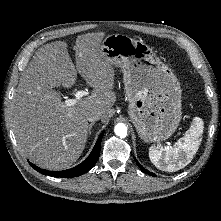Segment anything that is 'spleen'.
<instances>
[{
  "label": "spleen",
  "instance_id": "1",
  "mask_svg": "<svg viewBox=\"0 0 221 221\" xmlns=\"http://www.w3.org/2000/svg\"><path fill=\"white\" fill-rule=\"evenodd\" d=\"M203 120L195 117L191 128L173 146H151L149 158L160 170L175 172L187 166L198 151L202 140Z\"/></svg>",
  "mask_w": 221,
  "mask_h": 221
}]
</instances>
